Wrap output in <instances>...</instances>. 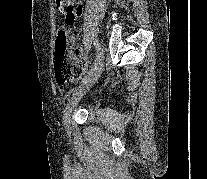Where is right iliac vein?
Instances as JSON below:
<instances>
[{"label": "right iliac vein", "instance_id": "obj_1", "mask_svg": "<svg viewBox=\"0 0 207 179\" xmlns=\"http://www.w3.org/2000/svg\"><path fill=\"white\" fill-rule=\"evenodd\" d=\"M100 53H101V57L97 63L96 69L90 74V76L87 78V81L83 85H81L79 89L73 94L67 106L65 107L63 113V123L65 127H69L71 113L76 107V105L78 104V102L86 94V92H88L89 89L97 82V80L101 76V73L103 71V56L101 51Z\"/></svg>", "mask_w": 207, "mask_h": 179}]
</instances>
